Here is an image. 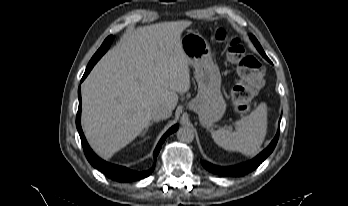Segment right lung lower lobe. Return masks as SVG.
Segmentation results:
<instances>
[{
    "label": "right lung lower lobe",
    "instance_id": "98d812e1",
    "mask_svg": "<svg viewBox=\"0 0 348 206\" xmlns=\"http://www.w3.org/2000/svg\"><path fill=\"white\" fill-rule=\"evenodd\" d=\"M108 48H109L108 46H105V47L101 46L99 48V50L94 54V56L92 57V59L90 60L88 66L86 68V71H85L81 81H83L86 78V76L89 74V72L91 71L93 66L103 56V54L108 50ZM78 96H79V108H78V113H77V117H76V127H77V130H78L80 138H81L84 153L86 155L87 160L90 162V164L93 167H95L96 169H98L100 172L104 173L107 177H109L113 180H116V181H120V182L140 180V179H143V178L149 176L153 172L154 166L146 172L132 171L126 167L113 165V164H110V163L103 161L91 150V148L89 147V145L85 139V136L83 134L81 124H80V117H81L80 88L78 90ZM177 129H178V125H174L163 135V137L159 141V143L154 151V159L155 160H156V157H157V155L161 149V146H162L164 140L166 139V137L169 134L175 132Z\"/></svg>",
    "mask_w": 348,
    "mask_h": 206
}]
</instances>
